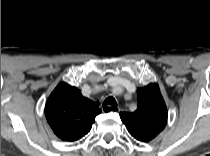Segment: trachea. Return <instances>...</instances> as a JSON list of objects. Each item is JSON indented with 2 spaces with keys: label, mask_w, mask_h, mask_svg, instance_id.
I'll return each instance as SVG.
<instances>
[{
  "label": "trachea",
  "mask_w": 210,
  "mask_h": 156,
  "mask_svg": "<svg viewBox=\"0 0 210 156\" xmlns=\"http://www.w3.org/2000/svg\"><path fill=\"white\" fill-rule=\"evenodd\" d=\"M103 105H111V106H117V102L115 98L113 97H108L104 102Z\"/></svg>",
  "instance_id": "3493384b"
}]
</instances>
